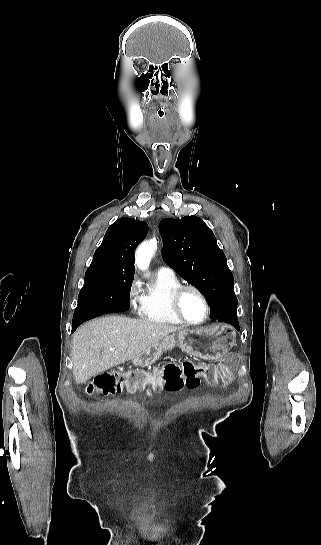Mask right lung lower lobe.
Masks as SVG:
<instances>
[{
	"instance_id": "98d812e1",
	"label": "right lung lower lobe",
	"mask_w": 321,
	"mask_h": 545,
	"mask_svg": "<svg viewBox=\"0 0 321 545\" xmlns=\"http://www.w3.org/2000/svg\"><path fill=\"white\" fill-rule=\"evenodd\" d=\"M130 294L121 296L117 298L113 303L110 304L109 309L107 310L108 313H114V312H124L129 309L130 307ZM90 320L89 318H83L80 320H76L72 322V332L76 330V328L82 324L83 322Z\"/></svg>"
}]
</instances>
